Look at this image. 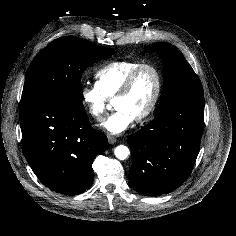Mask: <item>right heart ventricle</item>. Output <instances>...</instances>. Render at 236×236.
<instances>
[{
  "instance_id": "obj_1",
  "label": "right heart ventricle",
  "mask_w": 236,
  "mask_h": 236,
  "mask_svg": "<svg viewBox=\"0 0 236 236\" xmlns=\"http://www.w3.org/2000/svg\"><path fill=\"white\" fill-rule=\"evenodd\" d=\"M142 63L140 60L112 61L96 71V85L108 100L113 99L131 71Z\"/></svg>"
}]
</instances>
